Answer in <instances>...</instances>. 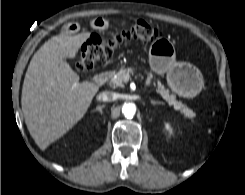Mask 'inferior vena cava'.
I'll list each match as a JSON object with an SVG mask.
<instances>
[{"label": "inferior vena cava", "instance_id": "1", "mask_svg": "<svg viewBox=\"0 0 245 195\" xmlns=\"http://www.w3.org/2000/svg\"><path fill=\"white\" fill-rule=\"evenodd\" d=\"M117 98V94L111 91H105L97 95L96 99L98 101L110 102Z\"/></svg>", "mask_w": 245, "mask_h": 195}]
</instances>
